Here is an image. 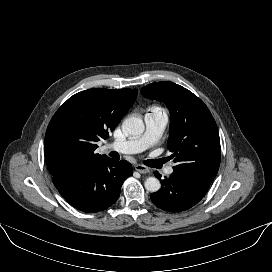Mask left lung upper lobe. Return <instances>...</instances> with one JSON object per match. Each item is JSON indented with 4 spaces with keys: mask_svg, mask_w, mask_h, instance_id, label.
I'll list each match as a JSON object with an SVG mask.
<instances>
[{
    "mask_svg": "<svg viewBox=\"0 0 272 272\" xmlns=\"http://www.w3.org/2000/svg\"><path fill=\"white\" fill-rule=\"evenodd\" d=\"M143 96L164 101L171 113L168 149L174 170L213 182L221 148L218 128L204 102L192 92L170 81L149 84Z\"/></svg>",
    "mask_w": 272,
    "mask_h": 272,
    "instance_id": "5c2ea615",
    "label": "left lung upper lobe"
}]
</instances>
